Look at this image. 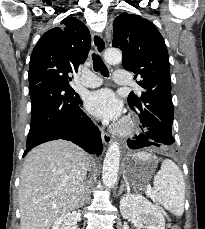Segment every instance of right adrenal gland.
Here are the masks:
<instances>
[{"instance_id":"right-adrenal-gland-1","label":"right adrenal gland","mask_w":205,"mask_h":229,"mask_svg":"<svg viewBox=\"0 0 205 229\" xmlns=\"http://www.w3.org/2000/svg\"><path fill=\"white\" fill-rule=\"evenodd\" d=\"M83 193H85V192L83 191ZM84 202H85V194H83L82 199H81V201H80V204H79L78 206H79V207H80V206H83Z\"/></svg>"}]
</instances>
